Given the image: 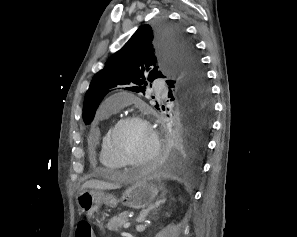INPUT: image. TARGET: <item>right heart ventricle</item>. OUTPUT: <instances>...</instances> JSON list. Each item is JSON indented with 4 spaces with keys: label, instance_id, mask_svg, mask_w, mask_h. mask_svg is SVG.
<instances>
[{
    "label": "right heart ventricle",
    "instance_id": "obj_1",
    "mask_svg": "<svg viewBox=\"0 0 297 237\" xmlns=\"http://www.w3.org/2000/svg\"><path fill=\"white\" fill-rule=\"evenodd\" d=\"M113 111L111 110H102L103 115H110ZM107 135V134H106ZM106 135L102 137L99 148H98V158L100 165L107 169L109 172H117L123 168V166L110 154L107 143Z\"/></svg>",
    "mask_w": 297,
    "mask_h": 237
}]
</instances>
